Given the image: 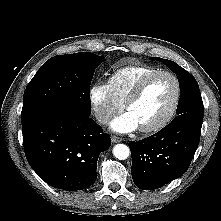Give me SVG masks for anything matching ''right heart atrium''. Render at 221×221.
Returning <instances> with one entry per match:
<instances>
[{
  "label": "right heart atrium",
  "instance_id": "right-heart-atrium-1",
  "mask_svg": "<svg viewBox=\"0 0 221 221\" xmlns=\"http://www.w3.org/2000/svg\"><path fill=\"white\" fill-rule=\"evenodd\" d=\"M88 99L95 119L102 125L122 109V104L113 96L108 84H92L88 90Z\"/></svg>",
  "mask_w": 221,
  "mask_h": 221
}]
</instances>
